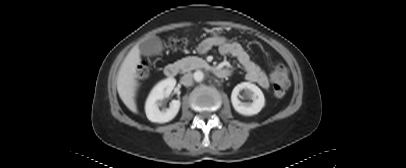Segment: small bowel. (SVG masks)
Returning <instances> with one entry per match:
<instances>
[{
	"label": "small bowel",
	"mask_w": 406,
	"mask_h": 168,
	"mask_svg": "<svg viewBox=\"0 0 406 168\" xmlns=\"http://www.w3.org/2000/svg\"><path fill=\"white\" fill-rule=\"evenodd\" d=\"M214 46H218L222 55H231L238 60L245 70V77L248 81L257 83L264 89L269 88L270 82L265 71L251 59L239 43L223 37H211L200 44L199 52L206 53Z\"/></svg>",
	"instance_id": "obj_1"
}]
</instances>
